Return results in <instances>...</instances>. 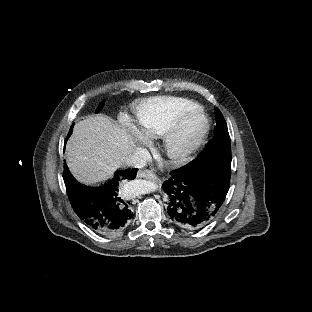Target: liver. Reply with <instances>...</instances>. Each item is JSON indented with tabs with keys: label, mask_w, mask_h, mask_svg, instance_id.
<instances>
[{
	"label": "liver",
	"mask_w": 312,
	"mask_h": 312,
	"mask_svg": "<svg viewBox=\"0 0 312 312\" xmlns=\"http://www.w3.org/2000/svg\"><path fill=\"white\" fill-rule=\"evenodd\" d=\"M137 149L128 130L110 117L92 115L75 124L66 145V162L75 179L98 185L113 178L114 172Z\"/></svg>",
	"instance_id": "obj_1"
}]
</instances>
